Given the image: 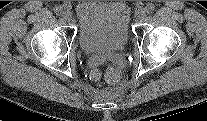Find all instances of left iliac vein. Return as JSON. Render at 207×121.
I'll return each instance as SVG.
<instances>
[{
	"label": "left iliac vein",
	"instance_id": "4c4485c4",
	"mask_svg": "<svg viewBox=\"0 0 207 121\" xmlns=\"http://www.w3.org/2000/svg\"><path fill=\"white\" fill-rule=\"evenodd\" d=\"M145 16H146V13H145V10H144V9H141V10H139V11L137 12V18H138L139 20L144 19Z\"/></svg>",
	"mask_w": 207,
	"mask_h": 121
}]
</instances>
